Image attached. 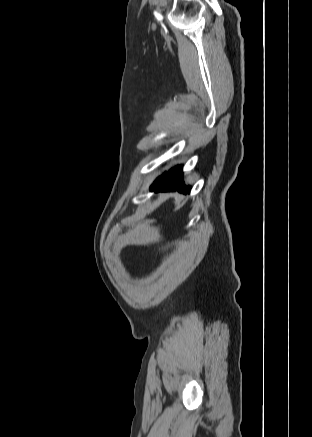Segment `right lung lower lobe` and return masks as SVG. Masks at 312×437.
Wrapping results in <instances>:
<instances>
[{
    "label": "right lung lower lobe",
    "mask_w": 312,
    "mask_h": 437,
    "mask_svg": "<svg viewBox=\"0 0 312 437\" xmlns=\"http://www.w3.org/2000/svg\"><path fill=\"white\" fill-rule=\"evenodd\" d=\"M182 167L177 166L172 168L168 172H165L162 176L158 177L150 187L151 190L169 191L175 190L186 193L191 187H186L182 181Z\"/></svg>",
    "instance_id": "1"
}]
</instances>
